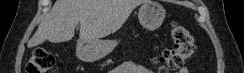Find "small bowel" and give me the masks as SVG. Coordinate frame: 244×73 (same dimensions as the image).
Returning <instances> with one entry per match:
<instances>
[{"mask_svg":"<svg viewBox=\"0 0 244 73\" xmlns=\"http://www.w3.org/2000/svg\"><path fill=\"white\" fill-rule=\"evenodd\" d=\"M111 73H152L145 66L138 64L134 61H126L121 65L114 68ZM178 73H189V69L187 67L180 68Z\"/></svg>","mask_w":244,"mask_h":73,"instance_id":"1","label":"small bowel"}]
</instances>
